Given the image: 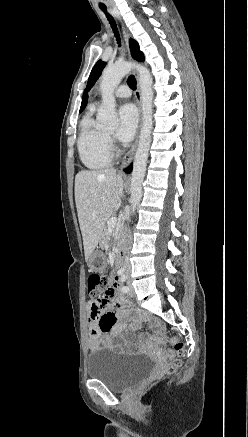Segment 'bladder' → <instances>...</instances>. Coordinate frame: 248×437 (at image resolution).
I'll return each instance as SVG.
<instances>
[{
  "label": "bladder",
  "mask_w": 248,
  "mask_h": 437,
  "mask_svg": "<svg viewBox=\"0 0 248 437\" xmlns=\"http://www.w3.org/2000/svg\"><path fill=\"white\" fill-rule=\"evenodd\" d=\"M156 370V363L138 353H120L108 349L95 352L89 359L87 374L114 390H125L132 384L149 378Z\"/></svg>",
  "instance_id": "obj_1"
}]
</instances>
